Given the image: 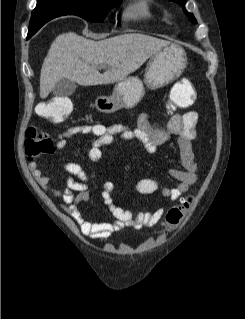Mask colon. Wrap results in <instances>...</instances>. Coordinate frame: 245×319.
<instances>
[{
  "label": "colon",
  "mask_w": 245,
  "mask_h": 319,
  "mask_svg": "<svg viewBox=\"0 0 245 319\" xmlns=\"http://www.w3.org/2000/svg\"><path fill=\"white\" fill-rule=\"evenodd\" d=\"M170 105L172 110L188 107L189 104L183 96V92L171 93ZM72 103L67 97H55L42 102L38 107V112L42 117L54 124L62 123L70 114ZM53 144L47 134L39 131L36 127L30 126L26 130L25 152L29 160H33L42 154L52 150ZM194 202L193 196H188L181 202L171 207L165 218L166 228L174 229L182 221L183 216L188 212Z\"/></svg>",
  "instance_id": "obj_1"
}]
</instances>
